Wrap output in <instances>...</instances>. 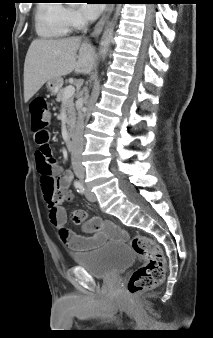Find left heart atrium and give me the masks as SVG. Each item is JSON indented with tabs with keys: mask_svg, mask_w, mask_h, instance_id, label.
I'll return each mask as SVG.
<instances>
[{
	"mask_svg": "<svg viewBox=\"0 0 213 338\" xmlns=\"http://www.w3.org/2000/svg\"><path fill=\"white\" fill-rule=\"evenodd\" d=\"M82 3V10L85 16L89 19H95L101 12V5L98 3Z\"/></svg>",
	"mask_w": 213,
	"mask_h": 338,
	"instance_id": "left-heart-atrium-1",
	"label": "left heart atrium"
}]
</instances>
